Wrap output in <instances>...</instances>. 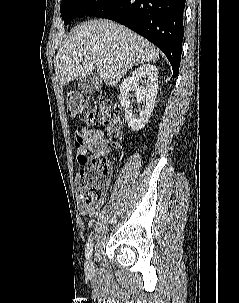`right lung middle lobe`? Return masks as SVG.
Returning <instances> with one entry per match:
<instances>
[{
	"mask_svg": "<svg viewBox=\"0 0 239 303\" xmlns=\"http://www.w3.org/2000/svg\"><path fill=\"white\" fill-rule=\"evenodd\" d=\"M105 1L106 0H62L60 12L65 25H68L72 19L76 17L88 15Z\"/></svg>",
	"mask_w": 239,
	"mask_h": 303,
	"instance_id": "right-lung-middle-lobe-1",
	"label": "right lung middle lobe"
}]
</instances>
